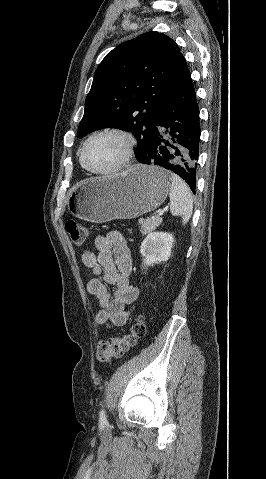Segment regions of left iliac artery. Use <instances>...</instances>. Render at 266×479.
Here are the masks:
<instances>
[{"label": "left iliac artery", "mask_w": 266, "mask_h": 479, "mask_svg": "<svg viewBox=\"0 0 266 479\" xmlns=\"http://www.w3.org/2000/svg\"><path fill=\"white\" fill-rule=\"evenodd\" d=\"M99 417L101 421H106V414L104 409H101Z\"/></svg>", "instance_id": "left-iliac-artery-1"}]
</instances>
